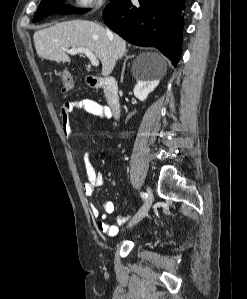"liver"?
I'll list each match as a JSON object with an SVG mask.
<instances>
[{
	"label": "liver",
	"instance_id": "1",
	"mask_svg": "<svg viewBox=\"0 0 247 299\" xmlns=\"http://www.w3.org/2000/svg\"><path fill=\"white\" fill-rule=\"evenodd\" d=\"M35 48L41 59L70 62L66 48L84 47L92 51L102 63V75L109 76L116 61L126 52V42L117 34H108L100 24L88 20H72L38 30L33 35ZM158 69V76L166 73L165 58L157 53L144 54Z\"/></svg>",
	"mask_w": 247,
	"mask_h": 299
}]
</instances>
